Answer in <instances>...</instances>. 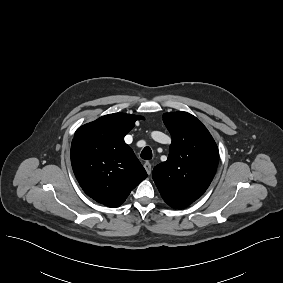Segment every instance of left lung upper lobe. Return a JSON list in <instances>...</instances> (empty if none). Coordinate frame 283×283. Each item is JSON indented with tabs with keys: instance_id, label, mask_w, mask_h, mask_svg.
<instances>
[{
	"instance_id": "5c2ea615",
	"label": "left lung upper lobe",
	"mask_w": 283,
	"mask_h": 283,
	"mask_svg": "<svg viewBox=\"0 0 283 283\" xmlns=\"http://www.w3.org/2000/svg\"><path fill=\"white\" fill-rule=\"evenodd\" d=\"M172 143L167 161L153 169V180L164 201L184 208L209 187L219 161L217 145L206 127L187 112L165 113Z\"/></svg>"
}]
</instances>
